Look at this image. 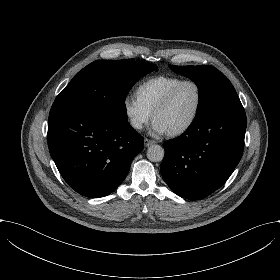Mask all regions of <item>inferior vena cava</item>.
<instances>
[{
	"instance_id": "obj_1",
	"label": "inferior vena cava",
	"mask_w": 280,
	"mask_h": 280,
	"mask_svg": "<svg viewBox=\"0 0 280 280\" xmlns=\"http://www.w3.org/2000/svg\"><path fill=\"white\" fill-rule=\"evenodd\" d=\"M131 126L134 128H142V120L139 118H131L130 120Z\"/></svg>"
}]
</instances>
